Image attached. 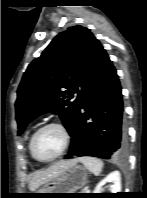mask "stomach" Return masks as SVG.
Returning <instances> with one entry per match:
<instances>
[{
	"mask_svg": "<svg viewBox=\"0 0 147 198\" xmlns=\"http://www.w3.org/2000/svg\"><path fill=\"white\" fill-rule=\"evenodd\" d=\"M88 182L87 169L81 165H73L47 182L37 192L42 198H58L61 194H43V193H75L78 189L84 187Z\"/></svg>",
	"mask_w": 147,
	"mask_h": 198,
	"instance_id": "1",
	"label": "stomach"
}]
</instances>
